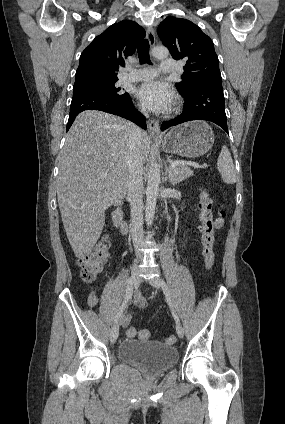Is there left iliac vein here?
<instances>
[{
    "label": "left iliac vein",
    "mask_w": 285,
    "mask_h": 424,
    "mask_svg": "<svg viewBox=\"0 0 285 424\" xmlns=\"http://www.w3.org/2000/svg\"><path fill=\"white\" fill-rule=\"evenodd\" d=\"M148 281L153 287L157 289H161L162 283H161V279L158 276H154ZM176 332L179 338H182L184 336V329L180 323H176Z\"/></svg>",
    "instance_id": "4c4485c4"
}]
</instances>
